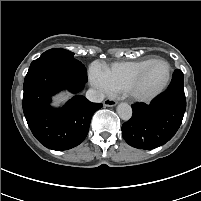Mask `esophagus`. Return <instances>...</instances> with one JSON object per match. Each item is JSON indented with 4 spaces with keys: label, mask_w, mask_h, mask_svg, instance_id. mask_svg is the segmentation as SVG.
Here are the masks:
<instances>
[{
    "label": "esophagus",
    "mask_w": 201,
    "mask_h": 201,
    "mask_svg": "<svg viewBox=\"0 0 201 201\" xmlns=\"http://www.w3.org/2000/svg\"><path fill=\"white\" fill-rule=\"evenodd\" d=\"M117 104V102L113 99H105L104 102H103V105L106 106V107H113Z\"/></svg>",
    "instance_id": "34e87169"
}]
</instances>
